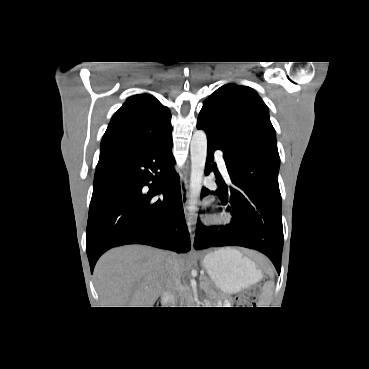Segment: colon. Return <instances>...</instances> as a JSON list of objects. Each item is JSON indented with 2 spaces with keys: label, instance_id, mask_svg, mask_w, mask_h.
Here are the masks:
<instances>
[{
  "label": "colon",
  "instance_id": "5ec220e1",
  "mask_svg": "<svg viewBox=\"0 0 369 369\" xmlns=\"http://www.w3.org/2000/svg\"><path fill=\"white\" fill-rule=\"evenodd\" d=\"M259 296V289L257 287H253L250 290L238 295L235 298V302L238 307H253L256 303V300Z\"/></svg>",
  "mask_w": 369,
  "mask_h": 369
}]
</instances>
